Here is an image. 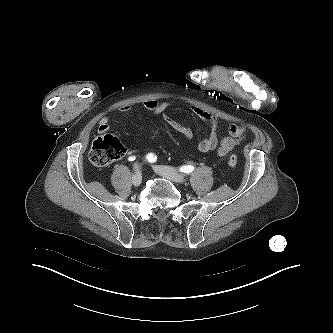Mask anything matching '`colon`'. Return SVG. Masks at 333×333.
Instances as JSON below:
<instances>
[{
    "label": "colon",
    "instance_id": "1",
    "mask_svg": "<svg viewBox=\"0 0 333 333\" xmlns=\"http://www.w3.org/2000/svg\"><path fill=\"white\" fill-rule=\"evenodd\" d=\"M125 152L126 150L119 140L106 135L98 137L93 141L88 157L93 165L103 167L121 159ZM228 165L231 169L236 167L237 156L235 154L230 156Z\"/></svg>",
    "mask_w": 333,
    "mask_h": 333
}]
</instances>
